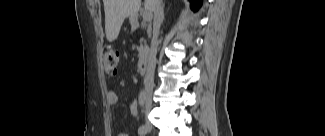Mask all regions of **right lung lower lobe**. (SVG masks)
Returning <instances> with one entry per match:
<instances>
[{
	"label": "right lung lower lobe",
	"mask_w": 325,
	"mask_h": 136,
	"mask_svg": "<svg viewBox=\"0 0 325 136\" xmlns=\"http://www.w3.org/2000/svg\"><path fill=\"white\" fill-rule=\"evenodd\" d=\"M192 8L197 10L201 7L202 5V0H190Z\"/></svg>",
	"instance_id": "obj_1"
}]
</instances>
